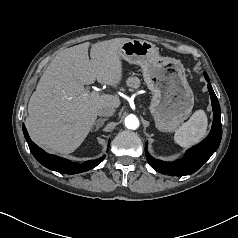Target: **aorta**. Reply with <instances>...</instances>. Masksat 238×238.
Returning a JSON list of instances; mask_svg holds the SVG:
<instances>
[{
	"label": "aorta",
	"instance_id": "obj_1",
	"mask_svg": "<svg viewBox=\"0 0 238 238\" xmlns=\"http://www.w3.org/2000/svg\"><path fill=\"white\" fill-rule=\"evenodd\" d=\"M125 126H126V128L131 129V130L137 129L139 127L138 118L133 114L128 115L125 118Z\"/></svg>",
	"mask_w": 238,
	"mask_h": 238
}]
</instances>
